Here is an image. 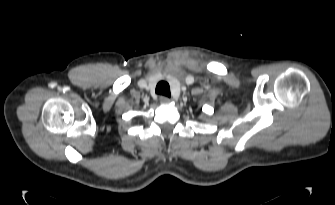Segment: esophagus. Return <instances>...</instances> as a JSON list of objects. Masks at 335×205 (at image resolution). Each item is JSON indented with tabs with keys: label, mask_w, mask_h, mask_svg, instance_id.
Listing matches in <instances>:
<instances>
[{
	"label": "esophagus",
	"mask_w": 335,
	"mask_h": 205,
	"mask_svg": "<svg viewBox=\"0 0 335 205\" xmlns=\"http://www.w3.org/2000/svg\"><path fill=\"white\" fill-rule=\"evenodd\" d=\"M159 100L161 104H168L170 102V99L166 96H161Z\"/></svg>",
	"instance_id": "1"
}]
</instances>
